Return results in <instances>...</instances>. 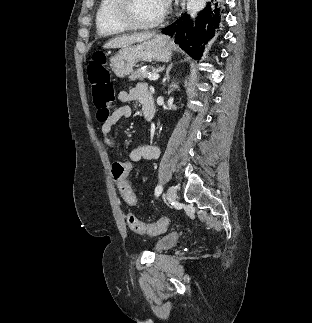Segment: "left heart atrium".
Returning a JSON list of instances; mask_svg holds the SVG:
<instances>
[{
    "label": "left heart atrium",
    "mask_w": 312,
    "mask_h": 323,
    "mask_svg": "<svg viewBox=\"0 0 312 323\" xmlns=\"http://www.w3.org/2000/svg\"><path fill=\"white\" fill-rule=\"evenodd\" d=\"M173 7V2L170 0H165L161 2V6L157 7L158 11H165L166 8H172Z\"/></svg>",
    "instance_id": "39dd6f15"
}]
</instances>
